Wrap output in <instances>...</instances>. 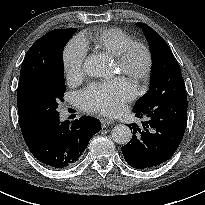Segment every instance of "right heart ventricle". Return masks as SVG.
<instances>
[{
	"instance_id": "1",
	"label": "right heart ventricle",
	"mask_w": 205,
	"mask_h": 205,
	"mask_svg": "<svg viewBox=\"0 0 205 205\" xmlns=\"http://www.w3.org/2000/svg\"><path fill=\"white\" fill-rule=\"evenodd\" d=\"M133 41V37L124 30L118 27H110L96 31L90 43L96 49L116 58Z\"/></svg>"
}]
</instances>
